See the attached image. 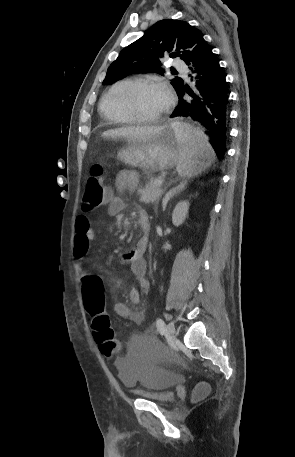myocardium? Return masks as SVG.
Segmentation results:
<instances>
[{"label":"myocardium","instance_id":"f54148a6","mask_svg":"<svg viewBox=\"0 0 295 457\" xmlns=\"http://www.w3.org/2000/svg\"><path fill=\"white\" fill-rule=\"evenodd\" d=\"M152 86H161V83L156 80H151V79H140V80H135L128 84L120 93L119 95V101L120 104L123 108V110L128 114L135 122H140V123H154L162 118H164L170 108L171 104H167L166 108L158 115L156 116H143L141 115L135 105V97L136 94L144 88L147 87H152Z\"/></svg>","mask_w":295,"mask_h":457}]
</instances>
